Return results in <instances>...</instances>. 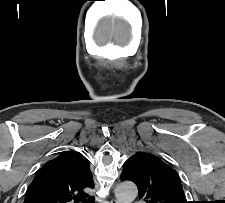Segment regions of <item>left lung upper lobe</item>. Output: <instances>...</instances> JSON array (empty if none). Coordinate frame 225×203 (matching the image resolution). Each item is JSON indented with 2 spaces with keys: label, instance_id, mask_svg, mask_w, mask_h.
Returning a JSON list of instances; mask_svg holds the SVG:
<instances>
[{
  "label": "left lung upper lobe",
  "instance_id": "obj_1",
  "mask_svg": "<svg viewBox=\"0 0 225 203\" xmlns=\"http://www.w3.org/2000/svg\"><path fill=\"white\" fill-rule=\"evenodd\" d=\"M120 178L134 182L146 203H187L177 172L153 154L135 153Z\"/></svg>",
  "mask_w": 225,
  "mask_h": 203
}]
</instances>
